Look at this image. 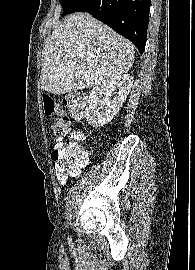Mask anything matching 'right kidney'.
Instances as JSON below:
<instances>
[{"instance_id": "1", "label": "right kidney", "mask_w": 195, "mask_h": 270, "mask_svg": "<svg viewBox=\"0 0 195 270\" xmlns=\"http://www.w3.org/2000/svg\"><path fill=\"white\" fill-rule=\"evenodd\" d=\"M132 86L133 77L129 74L96 85L89 95L85 108L88 124L101 127L109 123L119 112ZM112 92H115V96L111 99Z\"/></svg>"}]
</instances>
